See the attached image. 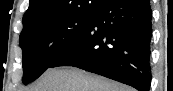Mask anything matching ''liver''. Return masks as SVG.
<instances>
[{
    "instance_id": "1",
    "label": "liver",
    "mask_w": 173,
    "mask_h": 91,
    "mask_svg": "<svg viewBox=\"0 0 173 91\" xmlns=\"http://www.w3.org/2000/svg\"><path fill=\"white\" fill-rule=\"evenodd\" d=\"M26 91H133L132 88L76 67L49 68Z\"/></svg>"
}]
</instances>
